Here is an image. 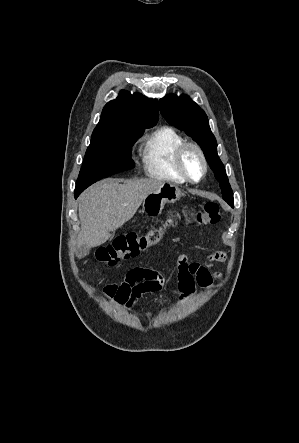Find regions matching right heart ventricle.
<instances>
[{"label": "right heart ventricle", "instance_id": "obj_1", "mask_svg": "<svg viewBox=\"0 0 299 443\" xmlns=\"http://www.w3.org/2000/svg\"><path fill=\"white\" fill-rule=\"evenodd\" d=\"M185 142V137L171 126H164L152 132L141 150L145 173L156 179L184 183L186 180L176 167V153Z\"/></svg>", "mask_w": 299, "mask_h": 443}]
</instances>
